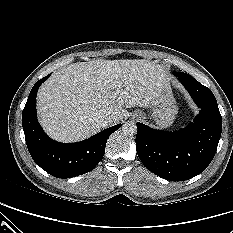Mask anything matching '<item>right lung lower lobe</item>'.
<instances>
[{
  "label": "right lung lower lobe",
  "instance_id": "obj_1",
  "mask_svg": "<svg viewBox=\"0 0 233 233\" xmlns=\"http://www.w3.org/2000/svg\"><path fill=\"white\" fill-rule=\"evenodd\" d=\"M50 76L39 80L32 88L22 112V125L28 150L47 173L57 178H71L91 171L105 153L106 141L121 124L107 128L77 143H59L49 138L37 121L36 95L40 85Z\"/></svg>",
  "mask_w": 233,
  "mask_h": 233
}]
</instances>
